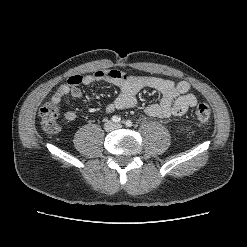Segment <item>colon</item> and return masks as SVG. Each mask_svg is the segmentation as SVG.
I'll use <instances>...</instances> for the list:
<instances>
[{
	"label": "colon",
	"mask_w": 247,
	"mask_h": 247,
	"mask_svg": "<svg viewBox=\"0 0 247 247\" xmlns=\"http://www.w3.org/2000/svg\"><path fill=\"white\" fill-rule=\"evenodd\" d=\"M59 113V108L52 102L46 103L40 109L39 115L43 127L48 132H55L58 128L57 117ZM194 116L199 122H206L211 117V109L207 104L200 103L194 109Z\"/></svg>",
	"instance_id": "colon-1"
}]
</instances>
